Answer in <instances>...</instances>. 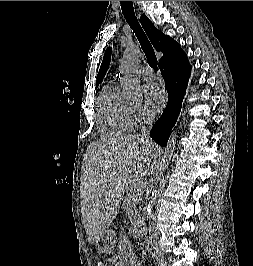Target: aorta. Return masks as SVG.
Instances as JSON below:
<instances>
[{
    "mask_svg": "<svg viewBox=\"0 0 253 266\" xmlns=\"http://www.w3.org/2000/svg\"><path fill=\"white\" fill-rule=\"evenodd\" d=\"M141 52L138 46H129L126 48L123 59L120 65L121 73V85L124 91V95L128 98H136L141 94V85L137 78L134 76V70L136 64L140 60ZM177 132H173L167 143V147L164 149V155L161 161L158 163L156 178L154 185L150 190L149 203L144 209L142 214V224L144 228H147L150 222V217L153 215V207L158 198L160 187L164 180V175L168 169L169 162L173 156L176 148Z\"/></svg>",
    "mask_w": 253,
    "mask_h": 266,
    "instance_id": "1",
    "label": "aorta"
}]
</instances>
